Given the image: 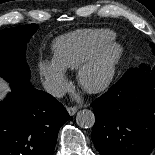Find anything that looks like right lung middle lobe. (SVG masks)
<instances>
[{
    "label": "right lung middle lobe",
    "mask_w": 155,
    "mask_h": 155,
    "mask_svg": "<svg viewBox=\"0 0 155 155\" xmlns=\"http://www.w3.org/2000/svg\"><path fill=\"white\" fill-rule=\"evenodd\" d=\"M38 29L36 24L0 31V76L11 84L16 92L27 91L30 85V69L26 63V44Z\"/></svg>",
    "instance_id": "obj_1"
}]
</instances>
